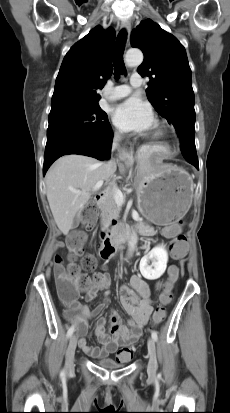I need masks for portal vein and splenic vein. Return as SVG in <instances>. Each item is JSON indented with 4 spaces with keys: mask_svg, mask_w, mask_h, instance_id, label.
I'll use <instances>...</instances> for the list:
<instances>
[{
    "mask_svg": "<svg viewBox=\"0 0 230 413\" xmlns=\"http://www.w3.org/2000/svg\"><path fill=\"white\" fill-rule=\"evenodd\" d=\"M102 185H103V181H102V180L98 181V182L95 184V186L93 187L92 191H97V190H99V189L102 187ZM71 191H72L73 193H76V194H86V193H88V192H82V191H77V190H73V189H72ZM113 197H114L115 202L118 203V204H122V203L125 202V197L123 196V193H122L119 189H117V188L114 189ZM133 216L135 217V219L138 218V214H137V213L133 214ZM138 219H139V218H138Z\"/></svg>",
    "mask_w": 230,
    "mask_h": 413,
    "instance_id": "obj_1",
    "label": "portal vein and splenic vein"
}]
</instances>
